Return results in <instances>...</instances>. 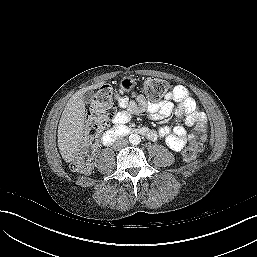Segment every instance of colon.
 <instances>
[{
	"mask_svg": "<svg viewBox=\"0 0 257 257\" xmlns=\"http://www.w3.org/2000/svg\"><path fill=\"white\" fill-rule=\"evenodd\" d=\"M170 83L158 79L148 78L143 85L145 96L152 102L159 101L168 91ZM115 93L110 86L101 87L90 101V115L86 122L85 136L79 151L72 162L73 170L79 173H88L93 166V157L96 152L98 139L114 115ZM197 130L203 131V127ZM204 138L184 149L182 156L186 162H193L204 149Z\"/></svg>",
	"mask_w": 257,
	"mask_h": 257,
	"instance_id": "5ec220e1",
	"label": "colon"
}]
</instances>
